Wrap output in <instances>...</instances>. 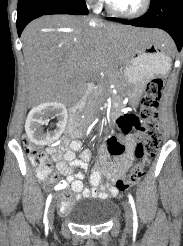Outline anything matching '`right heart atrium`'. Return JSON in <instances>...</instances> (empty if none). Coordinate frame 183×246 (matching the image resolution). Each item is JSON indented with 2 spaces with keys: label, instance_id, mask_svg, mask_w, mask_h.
Segmentation results:
<instances>
[{
  "label": "right heart atrium",
  "instance_id": "d8ad5b80",
  "mask_svg": "<svg viewBox=\"0 0 183 246\" xmlns=\"http://www.w3.org/2000/svg\"><path fill=\"white\" fill-rule=\"evenodd\" d=\"M87 1L98 3L100 0H87Z\"/></svg>",
  "mask_w": 183,
  "mask_h": 246
}]
</instances>
